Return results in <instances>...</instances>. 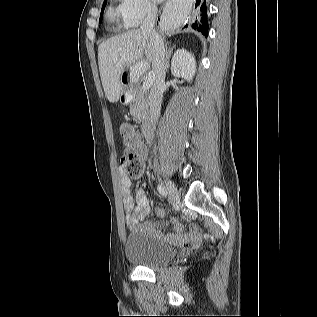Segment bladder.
<instances>
[{"instance_id": "31cf9c89", "label": "bladder", "mask_w": 317, "mask_h": 317, "mask_svg": "<svg viewBox=\"0 0 317 317\" xmlns=\"http://www.w3.org/2000/svg\"><path fill=\"white\" fill-rule=\"evenodd\" d=\"M124 253L131 263L156 268L174 260L177 249L159 242L142 229H135L125 239Z\"/></svg>"}]
</instances>
